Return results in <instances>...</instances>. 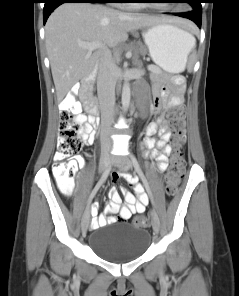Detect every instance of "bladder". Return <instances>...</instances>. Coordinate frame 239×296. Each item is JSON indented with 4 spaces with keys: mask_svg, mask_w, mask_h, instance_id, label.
Here are the masks:
<instances>
[{
    "mask_svg": "<svg viewBox=\"0 0 239 296\" xmlns=\"http://www.w3.org/2000/svg\"><path fill=\"white\" fill-rule=\"evenodd\" d=\"M150 243V233L130 223L103 226L90 239L93 252L111 262L136 260L147 251Z\"/></svg>",
    "mask_w": 239,
    "mask_h": 296,
    "instance_id": "obj_1",
    "label": "bladder"
}]
</instances>
